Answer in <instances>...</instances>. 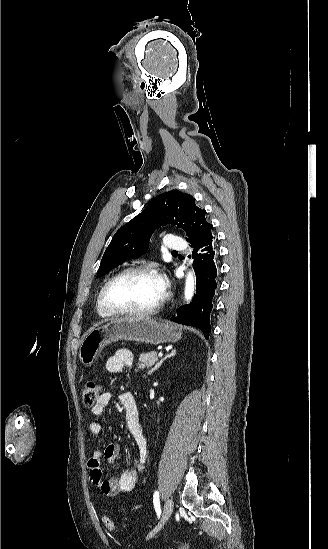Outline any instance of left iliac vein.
<instances>
[{
	"mask_svg": "<svg viewBox=\"0 0 328 549\" xmlns=\"http://www.w3.org/2000/svg\"><path fill=\"white\" fill-rule=\"evenodd\" d=\"M172 510H173V500L170 497V498H167L165 506H164L163 517H162V525L160 526V528L166 523V521L168 520V518L170 517V515L172 513ZM160 528L157 531H155V533L151 537H153L160 530ZM151 537H149L147 540H149Z\"/></svg>",
	"mask_w": 328,
	"mask_h": 549,
	"instance_id": "left-iliac-vein-1",
	"label": "left iliac vein"
}]
</instances>
